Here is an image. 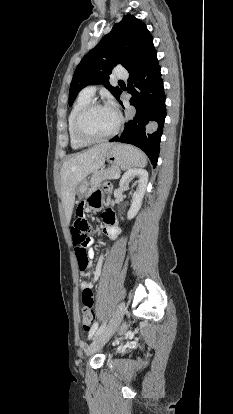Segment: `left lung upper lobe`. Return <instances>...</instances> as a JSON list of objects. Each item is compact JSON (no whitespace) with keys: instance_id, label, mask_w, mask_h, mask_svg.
I'll use <instances>...</instances> for the list:
<instances>
[{"instance_id":"1","label":"left lung upper lobe","mask_w":233,"mask_h":414,"mask_svg":"<svg viewBox=\"0 0 233 414\" xmlns=\"http://www.w3.org/2000/svg\"><path fill=\"white\" fill-rule=\"evenodd\" d=\"M153 38L146 25L133 15H126L102 40L89 51L77 66L69 91L71 106L79 91L87 85L105 83L118 100L119 87L109 85V75L116 64L133 72L155 53Z\"/></svg>"}]
</instances>
